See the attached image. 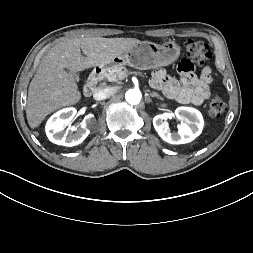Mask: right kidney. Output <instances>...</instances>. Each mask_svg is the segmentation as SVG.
<instances>
[{
	"label": "right kidney",
	"instance_id": "ca27d5eb",
	"mask_svg": "<svg viewBox=\"0 0 253 253\" xmlns=\"http://www.w3.org/2000/svg\"><path fill=\"white\" fill-rule=\"evenodd\" d=\"M75 108H64L53 114L47 121L45 131L49 140L55 144L72 147L82 143L89 134V127L94 123V115L89 114L80 123V128L71 127L75 133L63 132L64 128L71 122L76 114Z\"/></svg>",
	"mask_w": 253,
	"mask_h": 253
}]
</instances>
